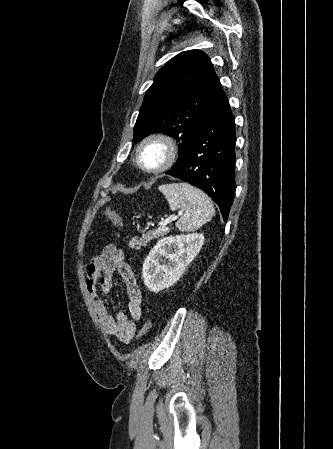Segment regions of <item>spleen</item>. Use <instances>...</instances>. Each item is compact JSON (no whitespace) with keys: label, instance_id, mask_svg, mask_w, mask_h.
<instances>
[{"label":"spleen","instance_id":"obj_1","mask_svg":"<svg viewBox=\"0 0 333 449\" xmlns=\"http://www.w3.org/2000/svg\"><path fill=\"white\" fill-rule=\"evenodd\" d=\"M159 190L165 195L172 211H182L183 215L176 223V227L182 232L196 230L215 215L210 197L190 184H165Z\"/></svg>","mask_w":333,"mask_h":449}]
</instances>
